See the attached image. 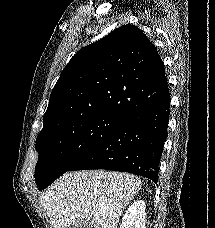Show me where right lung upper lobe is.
I'll list each match as a JSON object with an SVG mask.
<instances>
[{
	"mask_svg": "<svg viewBox=\"0 0 215 228\" xmlns=\"http://www.w3.org/2000/svg\"><path fill=\"white\" fill-rule=\"evenodd\" d=\"M156 47L136 26H121L80 49L50 95L41 132L97 115L127 117L169 95Z\"/></svg>",
	"mask_w": 215,
	"mask_h": 228,
	"instance_id": "obj_1",
	"label": "right lung upper lobe"
}]
</instances>
